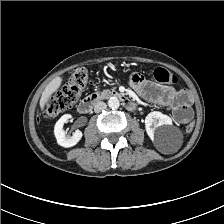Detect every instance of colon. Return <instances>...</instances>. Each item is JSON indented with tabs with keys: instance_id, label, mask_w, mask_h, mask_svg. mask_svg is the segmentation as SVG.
Wrapping results in <instances>:
<instances>
[{
	"instance_id": "obj_1",
	"label": "colon",
	"mask_w": 224,
	"mask_h": 224,
	"mask_svg": "<svg viewBox=\"0 0 224 224\" xmlns=\"http://www.w3.org/2000/svg\"><path fill=\"white\" fill-rule=\"evenodd\" d=\"M153 77L158 82L164 84H176L178 81L175 74L163 67L155 68ZM89 80L88 71L85 68H77L71 74L66 84L44 102L42 106L43 115L55 117L70 109L78 101ZM193 128V123H189L186 131L191 132Z\"/></svg>"
}]
</instances>
